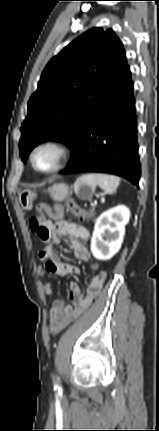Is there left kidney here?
I'll list each match as a JSON object with an SVG mask.
<instances>
[{"label": "left kidney", "instance_id": "obj_1", "mask_svg": "<svg viewBox=\"0 0 159 431\" xmlns=\"http://www.w3.org/2000/svg\"><path fill=\"white\" fill-rule=\"evenodd\" d=\"M129 218L130 211L124 205L105 211L98 217L91 239V252L96 259L110 260L120 250Z\"/></svg>", "mask_w": 159, "mask_h": 431}]
</instances>
